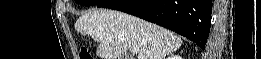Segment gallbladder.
I'll return each instance as SVG.
<instances>
[{
    "label": "gallbladder",
    "instance_id": "bac80fb5",
    "mask_svg": "<svg viewBox=\"0 0 261 59\" xmlns=\"http://www.w3.org/2000/svg\"><path fill=\"white\" fill-rule=\"evenodd\" d=\"M122 59H129V56H127V55H122Z\"/></svg>",
    "mask_w": 261,
    "mask_h": 59
}]
</instances>
